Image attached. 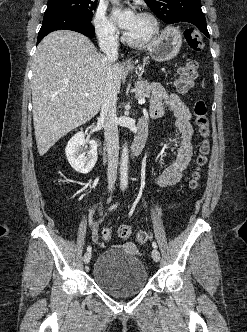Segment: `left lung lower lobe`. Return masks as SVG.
Segmentation results:
<instances>
[{
	"mask_svg": "<svg viewBox=\"0 0 247 332\" xmlns=\"http://www.w3.org/2000/svg\"><path fill=\"white\" fill-rule=\"evenodd\" d=\"M194 28L200 30L205 36L210 38L208 30H207L206 21L205 22H197Z\"/></svg>",
	"mask_w": 247,
	"mask_h": 332,
	"instance_id": "left-lung-lower-lobe-1",
	"label": "left lung lower lobe"
}]
</instances>
